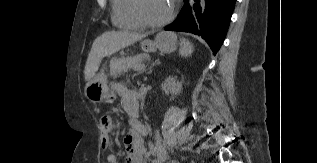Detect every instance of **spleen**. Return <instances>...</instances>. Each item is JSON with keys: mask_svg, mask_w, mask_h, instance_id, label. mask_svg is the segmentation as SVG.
I'll return each mask as SVG.
<instances>
[{"mask_svg": "<svg viewBox=\"0 0 317 163\" xmlns=\"http://www.w3.org/2000/svg\"><path fill=\"white\" fill-rule=\"evenodd\" d=\"M193 45L185 38L180 39L179 53L181 56L188 57L193 53Z\"/></svg>", "mask_w": 317, "mask_h": 163, "instance_id": "1", "label": "spleen"}]
</instances>
